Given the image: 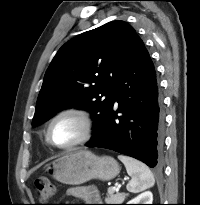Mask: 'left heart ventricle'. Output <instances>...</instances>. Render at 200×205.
Here are the masks:
<instances>
[{
	"instance_id": "obj_1",
	"label": "left heart ventricle",
	"mask_w": 200,
	"mask_h": 205,
	"mask_svg": "<svg viewBox=\"0 0 200 205\" xmlns=\"http://www.w3.org/2000/svg\"><path fill=\"white\" fill-rule=\"evenodd\" d=\"M81 134V125L73 117L59 119L52 128V138L55 143L65 145L76 140Z\"/></svg>"
}]
</instances>
